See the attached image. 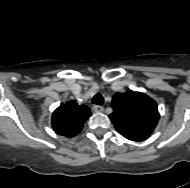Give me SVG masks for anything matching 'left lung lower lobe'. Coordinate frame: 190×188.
Returning a JSON list of instances; mask_svg holds the SVG:
<instances>
[{"instance_id": "obj_1", "label": "left lung lower lobe", "mask_w": 190, "mask_h": 188, "mask_svg": "<svg viewBox=\"0 0 190 188\" xmlns=\"http://www.w3.org/2000/svg\"><path fill=\"white\" fill-rule=\"evenodd\" d=\"M122 136L125 138L132 140V141H143L147 139L149 136L142 135V134H137V133H132L129 131H118Z\"/></svg>"}]
</instances>
